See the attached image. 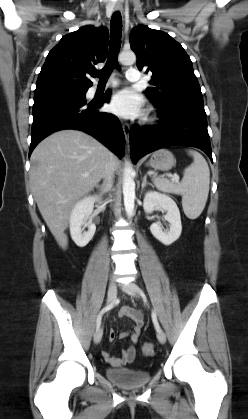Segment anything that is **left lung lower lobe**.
I'll return each instance as SVG.
<instances>
[{"mask_svg": "<svg viewBox=\"0 0 248 419\" xmlns=\"http://www.w3.org/2000/svg\"><path fill=\"white\" fill-rule=\"evenodd\" d=\"M157 112L159 124L145 127L135 125L130 130L133 163L152 151L173 145L197 147L212 160L203 103L171 104L158 108Z\"/></svg>", "mask_w": 248, "mask_h": 419, "instance_id": "0a47b994", "label": "left lung lower lobe"}]
</instances>
